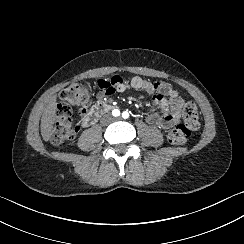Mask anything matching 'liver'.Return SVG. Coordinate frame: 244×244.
Listing matches in <instances>:
<instances>
[{
  "label": "liver",
  "instance_id": "liver-1",
  "mask_svg": "<svg viewBox=\"0 0 244 244\" xmlns=\"http://www.w3.org/2000/svg\"><path fill=\"white\" fill-rule=\"evenodd\" d=\"M56 113V95L50 97V102L47 105L41 118V135L44 141H48L51 137V131L55 122Z\"/></svg>",
  "mask_w": 244,
  "mask_h": 244
}]
</instances>
